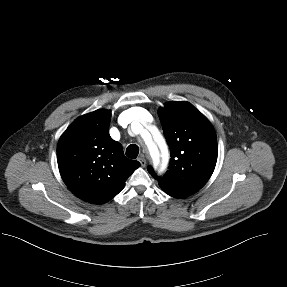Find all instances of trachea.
<instances>
[{"instance_id": "obj_1", "label": "trachea", "mask_w": 287, "mask_h": 287, "mask_svg": "<svg viewBox=\"0 0 287 287\" xmlns=\"http://www.w3.org/2000/svg\"><path fill=\"white\" fill-rule=\"evenodd\" d=\"M139 147L135 144H131L126 149V156L135 159L138 156Z\"/></svg>"}]
</instances>
